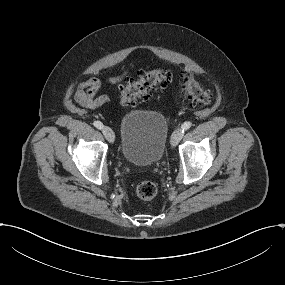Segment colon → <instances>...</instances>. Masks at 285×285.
<instances>
[{"instance_id": "obj_1", "label": "colon", "mask_w": 285, "mask_h": 285, "mask_svg": "<svg viewBox=\"0 0 285 285\" xmlns=\"http://www.w3.org/2000/svg\"><path fill=\"white\" fill-rule=\"evenodd\" d=\"M175 76L171 70L164 68L140 71L135 78H128L120 84V101L125 106H134L158 89L169 85ZM177 76L182 82L186 98L191 103L208 105L211 102V94L192 76L185 73ZM135 194L140 200L150 201L157 195V187L151 181H141L135 187Z\"/></svg>"}]
</instances>
